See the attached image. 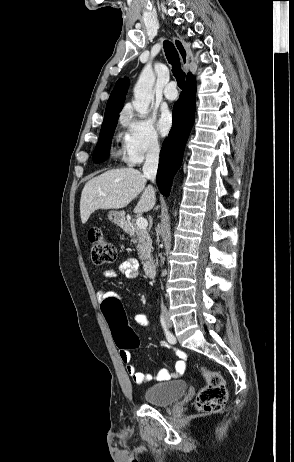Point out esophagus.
Listing matches in <instances>:
<instances>
[{"mask_svg":"<svg viewBox=\"0 0 294 462\" xmlns=\"http://www.w3.org/2000/svg\"><path fill=\"white\" fill-rule=\"evenodd\" d=\"M173 43L175 45L176 50L180 56L181 62L184 68H188L189 66V57L191 55L186 43L181 40L180 38L173 37Z\"/></svg>","mask_w":294,"mask_h":462,"instance_id":"esophagus-1","label":"esophagus"}]
</instances>
